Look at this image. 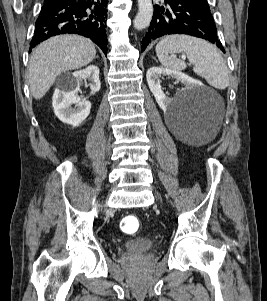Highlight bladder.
<instances>
[{"mask_svg":"<svg viewBox=\"0 0 267 301\" xmlns=\"http://www.w3.org/2000/svg\"><path fill=\"white\" fill-rule=\"evenodd\" d=\"M155 246V242L149 236H138L135 237L124 245V248L128 251H148L153 249Z\"/></svg>","mask_w":267,"mask_h":301,"instance_id":"31cf9c89","label":"bladder"}]
</instances>
